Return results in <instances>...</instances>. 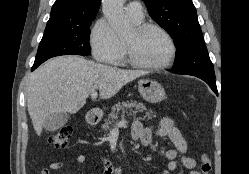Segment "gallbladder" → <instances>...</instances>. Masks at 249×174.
Masks as SVG:
<instances>
[{
  "instance_id": "bac80fb5",
  "label": "gallbladder",
  "mask_w": 249,
  "mask_h": 174,
  "mask_svg": "<svg viewBox=\"0 0 249 174\" xmlns=\"http://www.w3.org/2000/svg\"><path fill=\"white\" fill-rule=\"evenodd\" d=\"M69 115L67 113H54L46 118L43 128L46 131L52 132L61 128L68 122Z\"/></svg>"
}]
</instances>
